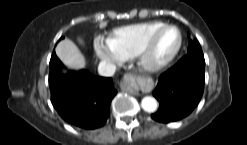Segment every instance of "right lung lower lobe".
Returning a JSON list of instances; mask_svg holds the SVG:
<instances>
[{"label":"right lung lower lobe","mask_w":247,"mask_h":145,"mask_svg":"<svg viewBox=\"0 0 247 145\" xmlns=\"http://www.w3.org/2000/svg\"><path fill=\"white\" fill-rule=\"evenodd\" d=\"M64 67L55 51L50 60L49 86L51 102L68 123L84 129L103 126L109 116V107L117 91L111 78L93 76L85 70L60 72Z\"/></svg>","instance_id":"right-lung-lower-lobe-1"}]
</instances>
